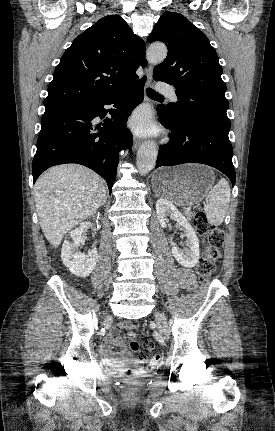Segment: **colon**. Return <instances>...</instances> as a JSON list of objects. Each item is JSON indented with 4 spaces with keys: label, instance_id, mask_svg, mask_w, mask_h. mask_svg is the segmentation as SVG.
<instances>
[{
    "label": "colon",
    "instance_id": "obj_1",
    "mask_svg": "<svg viewBox=\"0 0 275 431\" xmlns=\"http://www.w3.org/2000/svg\"><path fill=\"white\" fill-rule=\"evenodd\" d=\"M194 225L198 232L208 240V246L201 256L197 266L196 275L201 283H205L216 269V264L221 256V249L224 242L223 231L215 225H211L205 213L198 212L194 216ZM130 349L137 353V358L140 362L152 360L158 362L160 357H151V352L154 348L152 341H145L142 348L137 340L134 339V334L129 333ZM130 373V371L128 372Z\"/></svg>",
    "mask_w": 275,
    "mask_h": 431
}]
</instances>
